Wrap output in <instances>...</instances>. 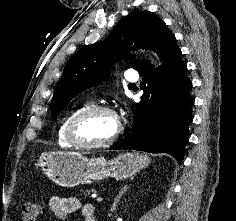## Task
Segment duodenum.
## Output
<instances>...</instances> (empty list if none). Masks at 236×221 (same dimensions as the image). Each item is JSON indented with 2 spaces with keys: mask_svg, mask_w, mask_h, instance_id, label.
Returning <instances> with one entry per match:
<instances>
[{
  "mask_svg": "<svg viewBox=\"0 0 236 221\" xmlns=\"http://www.w3.org/2000/svg\"><path fill=\"white\" fill-rule=\"evenodd\" d=\"M88 221H98L94 216H91Z\"/></svg>",
  "mask_w": 236,
  "mask_h": 221,
  "instance_id": "obj_1",
  "label": "duodenum"
}]
</instances>
